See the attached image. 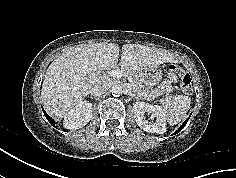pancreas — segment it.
Wrapping results in <instances>:
<instances>
[{"mask_svg": "<svg viewBox=\"0 0 236 178\" xmlns=\"http://www.w3.org/2000/svg\"><path fill=\"white\" fill-rule=\"evenodd\" d=\"M124 76H130L133 79L134 91L137 96L145 100H153L161 95V90L159 88L147 87L145 86L138 73L132 70H122Z\"/></svg>", "mask_w": 236, "mask_h": 178, "instance_id": "pancreas-1", "label": "pancreas"}]
</instances>
